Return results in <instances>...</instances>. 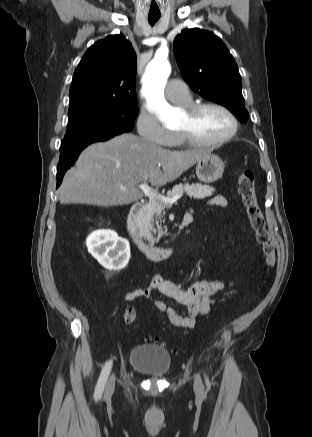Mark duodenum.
Here are the masks:
<instances>
[{
	"label": "duodenum",
	"mask_w": 312,
	"mask_h": 437,
	"mask_svg": "<svg viewBox=\"0 0 312 437\" xmlns=\"http://www.w3.org/2000/svg\"><path fill=\"white\" fill-rule=\"evenodd\" d=\"M145 208L143 202H136L132 205L124 223V231L127 240L147 259L153 262H163L168 260L177 249L176 243L172 242L167 246H156L145 241L137 232V222ZM192 222L189 214H186L179 226L183 230Z\"/></svg>",
	"instance_id": "410a0bca"
}]
</instances>
